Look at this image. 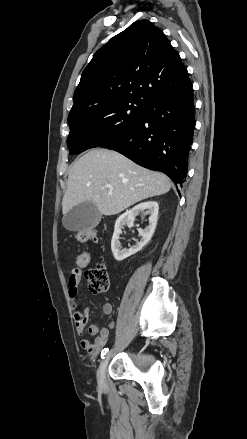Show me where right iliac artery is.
I'll list each match as a JSON object with an SVG mask.
<instances>
[{"instance_id":"82829eb1","label":"right iliac artery","mask_w":247,"mask_h":439,"mask_svg":"<svg viewBox=\"0 0 247 439\" xmlns=\"http://www.w3.org/2000/svg\"><path fill=\"white\" fill-rule=\"evenodd\" d=\"M107 351H108V348H104V349L102 350V352H101V356H102V358H104V356L106 355Z\"/></svg>"}]
</instances>
